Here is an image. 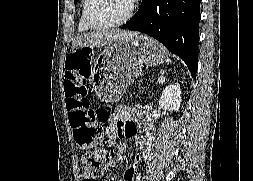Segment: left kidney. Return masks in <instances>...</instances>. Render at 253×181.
<instances>
[{
  "label": "left kidney",
  "instance_id": "5707ae66",
  "mask_svg": "<svg viewBox=\"0 0 253 181\" xmlns=\"http://www.w3.org/2000/svg\"><path fill=\"white\" fill-rule=\"evenodd\" d=\"M181 104V90L179 83L168 85L159 99V105L164 110L178 111Z\"/></svg>",
  "mask_w": 253,
  "mask_h": 181
}]
</instances>
